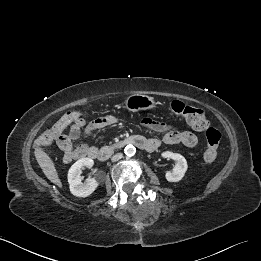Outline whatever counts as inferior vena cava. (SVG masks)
<instances>
[{"label":"inferior vena cava","mask_w":261,"mask_h":261,"mask_svg":"<svg viewBox=\"0 0 261 261\" xmlns=\"http://www.w3.org/2000/svg\"><path fill=\"white\" fill-rule=\"evenodd\" d=\"M122 157H123V154L117 153V154L112 156L111 161L116 162V161L120 160Z\"/></svg>","instance_id":"obj_1"}]
</instances>
